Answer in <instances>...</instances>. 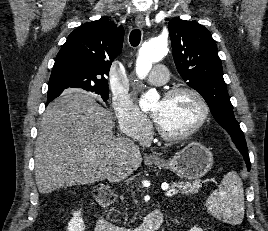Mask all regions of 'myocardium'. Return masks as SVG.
<instances>
[{"instance_id": "myocardium-1", "label": "myocardium", "mask_w": 268, "mask_h": 231, "mask_svg": "<svg viewBox=\"0 0 268 231\" xmlns=\"http://www.w3.org/2000/svg\"><path fill=\"white\" fill-rule=\"evenodd\" d=\"M188 94L195 99L199 105L200 114L198 120L187 130L181 133H169L166 132L161 125L155 121V128L161 138L166 141H180L191 137L195 134L207 121L209 116V106L203 95L196 89L189 86H176L164 94L163 99H171L180 94Z\"/></svg>"}]
</instances>
